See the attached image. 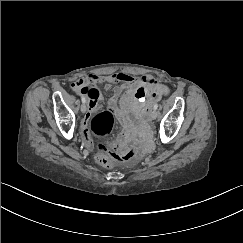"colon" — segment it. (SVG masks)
Returning a JSON list of instances; mask_svg holds the SVG:
<instances>
[{
  "mask_svg": "<svg viewBox=\"0 0 243 243\" xmlns=\"http://www.w3.org/2000/svg\"><path fill=\"white\" fill-rule=\"evenodd\" d=\"M90 128L92 132L99 138H107L114 128V115L111 111H102L97 113L90 121ZM139 151L137 144L132 145L127 151L121 154H111V156L101 154L98 160L101 164L108 165L110 157L113 159L123 161L133 159Z\"/></svg>",
  "mask_w": 243,
  "mask_h": 243,
  "instance_id": "1",
  "label": "colon"
}]
</instances>
